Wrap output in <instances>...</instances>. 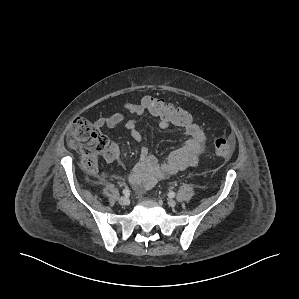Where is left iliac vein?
<instances>
[{
  "label": "left iliac vein",
  "mask_w": 299,
  "mask_h": 299,
  "mask_svg": "<svg viewBox=\"0 0 299 299\" xmlns=\"http://www.w3.org/2000/svg\"><path fill=\"white\" fill-rule=\"evenodd\" d=\"M168 205L171 206V207H175L176 206V201L173 200V199H169L168 200Z\"/></svg>",
  "instance_id": "obj_1"
}]
</instances>
